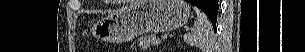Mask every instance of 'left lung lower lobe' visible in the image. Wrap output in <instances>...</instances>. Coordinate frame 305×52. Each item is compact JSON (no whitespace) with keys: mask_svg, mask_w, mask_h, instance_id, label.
Instances as JSON below:
<instances>
[{"mask_svg":"<svg viewBox=\"0 0 305 52\" xmlns=\"http://www.w3.org/2000/svg\"><path fill=\"white\" fill-rule=\"evenodd\" d=\"M187 1L199 7L204 12L206 9H218V0H187ZM212 25L215 30L216 23Z\"/></svg>","mask_w":305,"mask_h":52,"instance_id":"obj_1","label":"left lung lower lobe"}]
</instances>
